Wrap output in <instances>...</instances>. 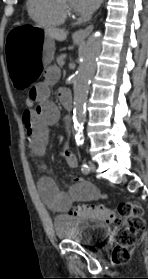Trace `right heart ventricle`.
Wrapping results in <instances>:
<instances>
[{
	"label": "right heart ventricle",
	"instance_id": "e07e8e85",
	"mask_svg": "<svg viewBox=\"0 0 148 279\" xmlns=\"http://www.w3.org/2000/svg\"><path fill=\"white\" fill-rule=\"evenodd\" d=\"M27 11L31 19L43 26H59L65 21V15L59 9L56 0H27Z\"/></svg>",
	"mask_w": 148,
	"mask_h": 279
}]
</instances>
